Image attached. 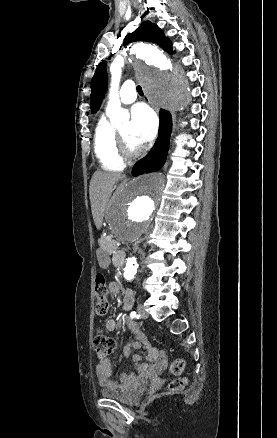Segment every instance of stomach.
<instances>
[{
    "label": "stomach",
    "instance_id": "stomach-1",
    "mask_svg": "<svg viewBox=\"0 0 277 438\" xmlns=\"http://www.w3.org/2000/svg\"><path fill=\"white\" fill-rule=\"evenodd\" d=\"M98 263L100 267L106 268L110 263V257L109 254L104 251H98L97 253Z\"/></svg>",
    "mask_w": 277,
    "mask_h": 438
}]
</instances>
